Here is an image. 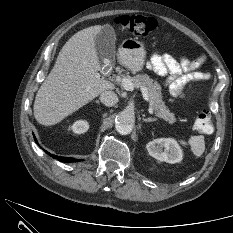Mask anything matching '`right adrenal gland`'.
<instances>
[{
	"mask_svg": "<svg viewBox=\"0 0 233 233\" xmlns=\"http://www.w3.org/2000/svg\"><path fill=\"white\" fill-rule=\"evenodd\" d=\"M95 102H96L97 104H99V105H100V102H99V100H96Z\"/></svg>",
	"mask_w": 233,
	"mask_h": 233,
	"instance_id": "obj_1",
	"label": "right adrenal gland"
}]
</instances>
